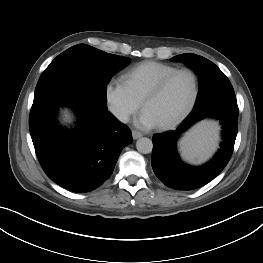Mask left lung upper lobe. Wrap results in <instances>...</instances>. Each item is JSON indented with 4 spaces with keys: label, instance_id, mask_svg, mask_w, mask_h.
Segmentation results:
<instances>
[{
    "label": "left lung upper lobe",
    "instance_id": "left-lung-upper-lobe-1",
    "mask_svg": "<svg viewBox=\"0 0 263 263\" xmlns=\"http://www.w3.org/2000/svg\"><path fill=\"white\" fill-rule=\"evenodd\" d=\"M191 67L199 76V93L195 106L205 101L225 95H235L229 79L208 59L195 54H181L172 58Z\"/></svg>",
    "mask_w": 263,
    "mask_h": 263
}]
</instances>
